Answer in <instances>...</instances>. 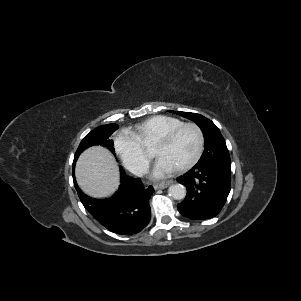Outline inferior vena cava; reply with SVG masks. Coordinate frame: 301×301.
Returning a JSON list of instances; mask_svg holds the SVG:
<instances>
[{"mask_svg":"<svg viewBox=\"0 0 301 301\" xmlns=\"http://www.w3.org/2000/svg\"><path fill=\"white\" fill-rule=\"evenodd\" d=\"M133 173L136 175H143L147 173V168L144 166H137L133 169Z\"/></svg>","mask_w":301,"mask_h":301,"instance_id":"602c4592","label":"inferior vena cava"}]
</instances>
